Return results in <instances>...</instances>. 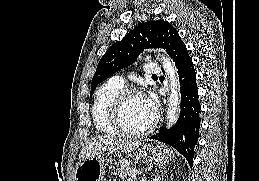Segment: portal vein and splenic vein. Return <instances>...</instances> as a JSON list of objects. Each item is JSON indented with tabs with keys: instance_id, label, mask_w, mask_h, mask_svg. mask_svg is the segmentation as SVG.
<instances>
[{
	"instance_id": "obj_1",
	"label": "portal vein and splenic vein",
	"mask_w": 259,
	"mask_h": 181,
	"mask_svg": "<svg viewBox=\"0 0 259 181\" xmlns=\"http://www.w3.org/2000/svg\"><path fill=\"white\" fill-rule=\"evenodd\" d=\"M127 181H133L131 178L127 179Z\"/></svg>"
}]
</instances>
